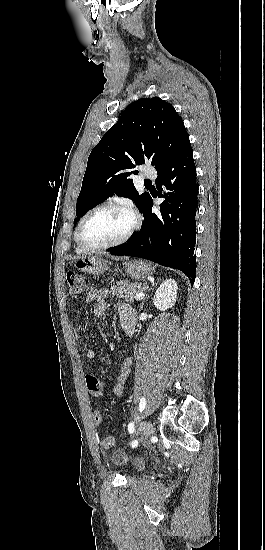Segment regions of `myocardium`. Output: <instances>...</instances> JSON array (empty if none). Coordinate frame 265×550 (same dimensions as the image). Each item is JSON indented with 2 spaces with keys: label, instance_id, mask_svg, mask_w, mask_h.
I'll use <instances>...</instances> for the list:
<instances>
[{
  "label": "myocardium",
  "instance_id": "obj_1",
  "mask_svg": "<svg viewBox=\"0 0 265 550\" xmlns=\"http://www.w3.org/2000/svg\"><path fill=\"white\" fill-rule=\"evenodd\" d=\"M107 208L118 209V210H121V211H124V212L128 213L132 217L131 227L129 228V230L122 237H120L119 239H117L115 241H112L110 243L98 244V245L87 244L86 242H84V240L81 237V229H82L85 221L93 213H95L99 210H102V209H107ZM140 225H141L140 216L131 206H129L125 203H122V202L110 201V202H105V203L99 204V205L91 208L90 210H88L84 214V216L80 219V221H79V223L76 227L74 237H75V241L77 242V244L82 249H84L85 251H95V250L109 249V248L116 247V246H119V245L127 242L136 233V231L139 229Z\"/></svg>",
  "mask_w": 265,
  "mask_h": 550
}]
</instances>
